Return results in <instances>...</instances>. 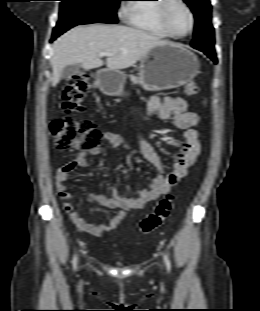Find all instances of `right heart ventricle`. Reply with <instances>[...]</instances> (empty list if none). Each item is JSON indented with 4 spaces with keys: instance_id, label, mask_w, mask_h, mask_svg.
<instances>
[{
    "instance_id": "1",
    "label": "right heart ventricle",
    "mask_w": 260,
    "mask_h": 311,
    "mask_svg": "<svg viewBox=\"0 0 260 311\" xmlns=\"http://www.w3.org/2000/svg\"><path fill=\"white\" fill-rule=\"evenodd\" d=\"M136 2H152L153 3H134L127 7L125 17L127 22L137 29L148 32L160 38H167L169 35L160 25L157 12L160 0H134Z\"/></svg>"
}]
</instances>
